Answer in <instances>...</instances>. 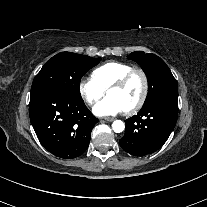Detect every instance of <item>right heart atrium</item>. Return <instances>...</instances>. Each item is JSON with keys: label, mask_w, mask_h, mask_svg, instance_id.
Instances as JSON below:
<instances>
[{"label": "right heart atrium", "mask_w": 207, "mask_h": 207, "mask_svg": "<svg viewBox=\"0 0 207 207\" xmlns=\"http://www.w3.org/2000/svg\"><path fill=\"white\" fill-rule=\"evenodd\" d=\"M79 93L88 105H93L105 94V89L93 77H88L79 82Z\"/></svg>", "instance_id": "obj_1"}]
</instances>
